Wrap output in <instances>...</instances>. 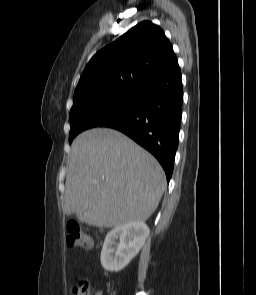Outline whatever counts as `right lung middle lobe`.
I'll return each instance as SVG.
<instances>
[{
    "instance_id": "dd1d6c3e",
    "label": "right lung middle lobe",
    "mask_w": 256,
    "mask_h": 295,
    "mask_svg": "<svg viewBox=\"0 0 256 295\" xmlns=\"http://www.w3.org/2000/svg\"><path fill=\"white\" fill-rule=\"evenodd\" d=\"M135 98L136 93L129 92L93 102L73 101L70 110L69 143L80 132L122 113L134 103Z\"/></svg>"
}]
</instances>
